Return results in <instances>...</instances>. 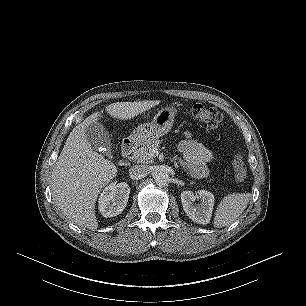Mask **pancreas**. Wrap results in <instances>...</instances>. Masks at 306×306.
Masks as SVG:
<instances>
[{
  "instance_id": "obj_1",
  "label": "pancreas",
  "mask_w": 306,
  "mask_h": 306,
  "mask_svg": "<svg viewBox=\"0 0 306 306\" xmlns=\"http://www.w3.org/2000/svg\"><path fill=\"white\" fill-rule=\"evenodd\" d=\"M160 140H154L146 145L141 146L133 152V159L137 163L148 164L153 162V158L149 156V151L152 148H157L160 144Z\"/></svg>"
}]
</instances>
